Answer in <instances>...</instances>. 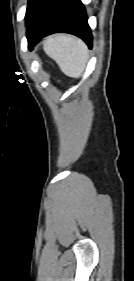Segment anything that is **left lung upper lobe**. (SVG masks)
I'll use <instances>...</instances> for the list:
<instances>
[{
	"mask_svg": "<svg viewBox=\"0 0 134 281\" xmlns=\"http://www.w3.org/2000/svg\"><path fill=\"white\" fill-rule=\"evenodd\" d=\"M39 2H40V0H29L28 7L26 10V17H25L26 23L29 20L30 16L32 15L33 11L35 10V8Z\"/></svg>",
	"mask_w": 134,
	"mask_h": 281,
	"instance_id": "1",
	"label": "left lung upper lobe"
}]
</instances>
